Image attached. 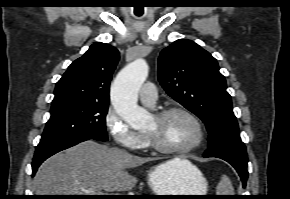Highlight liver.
I'll return each instance as SVG.
<instances>
[{"label": "liver", "instance_id": "6515ba94", "mask_svg": "<svg viewBox=\"0 0 290 199\" xmlns=\"http://www.w3.org/2000/svg\"><path fill=\"white\" fill-rule=\"evenodd\" d=\"M152 160L87 140L48 158L36 173L35 192L36 195H91L87 191H129L137 178L127 169ZM183 162L190 163L180 158L166 163L175 167Z\"/></svg>", "mask_w": 290, "mask_h": 199}]
</instances>
